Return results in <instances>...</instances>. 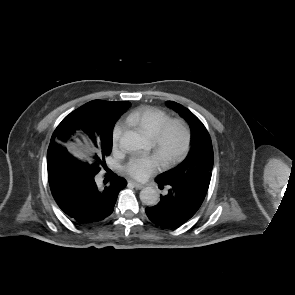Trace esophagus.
<instances>
[{"mask_svg":"<svg viewBox=\"0 0 295 295\" xmlns=\"http://www.w3.org/2000/svg\"><path fill=\"white\" fill-rule=\"evenodd\" d=\"M132 183V185L136 188V189H142L144 187V185L136 182V181H130Z\"/></svg>","mask_w":295,"mask_h":295,"instance_id":"1","label":"esophagus"}]
</instances>
